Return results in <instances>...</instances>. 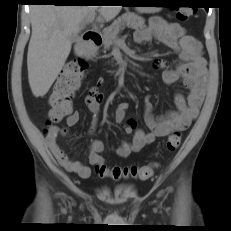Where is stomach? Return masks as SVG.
<instances>
[{"label": "stomach", "instance_id": "0dacf381", "mask_svg": "<svg viewBox=\"0 0 231 231\" xmlns=\"http://www.w3.org/2000/svg\"><path fill=\"white\" fill-rule=\"evenodd\" d=\"M140 4H158L160 3L159 1L156 0H140L138 1ZM138 12L140 13H155L160 11L161 7H137L136 8Z\"/></svg>", "mask_w": 231, "mask_h": 231}]
</instances>
